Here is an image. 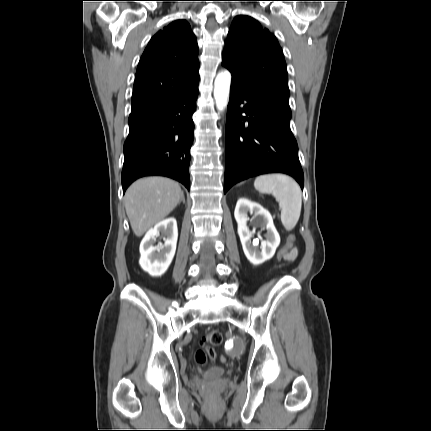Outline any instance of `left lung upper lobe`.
Instances as JSON below:
<instances>
[{"instance_id":"1","label":"left lung upper lobe","mask_w":431,"mask_h":431,"mask_svg":"<svg viewBox=\"0 0 431 431\" xmlns=\"http://www.w3.org/2000/svg\"><path fill=\"white\" fill-rule=\"evenodd\" d=\"M222 64L232 73V83L290 110L282 49L276 37L259 22L248 16L233 20Z\"/></svg>"}]
</instances>
